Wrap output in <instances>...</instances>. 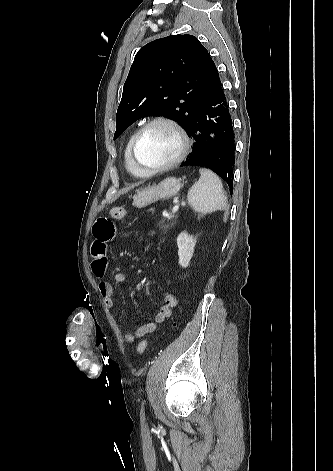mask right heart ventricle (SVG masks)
I'll return each instance as SVG.
<instances>
[{
	"label": "right heart ventricle",
	"instance_id": "1",
	"mask_svg": "<svg viewBox=\"0 0 333 471\" xmlns=\"http://www.w3.org/2000/svg\"><path fill=\"white\" fill-rule=\"evenodd\" d=\"M135 133H136V131H133L127 139V142H126V145H125V148H124V164H125L126 170L130 174H132L136 177H144L145 175H143L140 171H138L135 168V166L133 165V163L131 161V157H130L131 142H132V139H133Z\"/></svg>",
	"mask_w": 333,
	"mask_h": 471
}]
</instances>
